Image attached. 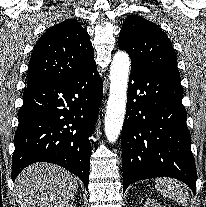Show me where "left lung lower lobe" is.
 <instances>
[{"label":"left lung lower lobe","mask_w":206,"mask_h":207,"mask_svg":"<svg viewBox=\"0 0 206 207\" xmlns=\"http://www.w3.org/2000/svg\"><path fill=\"white\" fill-rule=\"evenodd\" d=\"M180 80L132 67L121 132L123 192L138 180L172 177L196 192L197 173Z\"/></svg>","instance_id":"left-lung-lower-lobe-1"}]
</instances>
